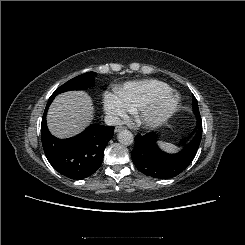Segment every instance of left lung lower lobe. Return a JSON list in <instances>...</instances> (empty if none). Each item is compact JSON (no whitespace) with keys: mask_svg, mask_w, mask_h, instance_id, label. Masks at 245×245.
<instances>
[{"mask_svg":"<svg viewBox=\"0 0 245 245\" xmlns=\"http://www.w3.org/2000/svg\"><path fill=\"white\" fill-rule=\"evenodd\" d=\"M202 137V127L194 138L177 154H167L157 145L153 133L136 135L135 147L131 152L135 166L144 174L160 179L172 178L180 174L196 155Z\"/></svg>","mask_w":245,"mask_h":245,"instance_id":"obj_1","label":"left lung lower lobe"}]
</instances>
